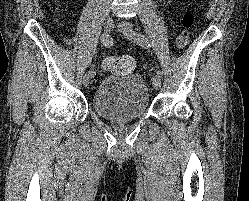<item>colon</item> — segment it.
Here are the masks:
<instances>
[{
	"instance_id": "5ec220e1",
	"label": "colon",
	"mask_w": 249,
	"mask_h": 201,
	"mask_svg": "<svg viewBox=\"0 0 249 201\" xmlns=\"http://www.w3.org/2000/svg\"><path fill=\"white\" fill-rule=\"evenodd\" d=\"M181 22L183 29L176 37L174 43L175 48L177 50L184 49L189 42L191 36V29L193 28L195 23L194 13L189 10L184 12ZM105 66L108 70H110L113 73L126 75L132 72V70L135 67V62L133 58L130 56L119 55V56L110 57L105 62Z\"/></svg>"
}]
</instances>
